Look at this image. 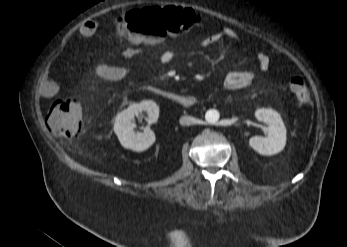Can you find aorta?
I'll return each mask as SVG.
<instances>
[{"label": "aorta", "instance_id": "aorta-1", "mask_svg": "<svg viewBox=\"0 0 347 247\" xmlns=\"http://www.w3.org/2000/svg\"><path fill=\"white\" fill-rule=\"evenodd\" d=\"M205 119L207 123L214 124L219 120V113L217 110H208L205 114Z\"/></svg>", "mask_w": 347, "mask_h": 247}]
</instances>
